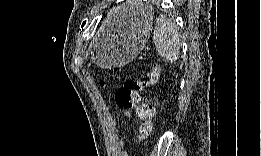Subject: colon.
Here are the masks:
<instances>
[{"label":"colon","mask_w":261,"mask_h":156,"mask_svg":"<svg viewBox=\"0 0 261 156\" xmlns=\"http://www.w3.org/2000/svg\"><path fill=\"white\" fill-rule=\"evenodd\" d=\"M160 74V66L155 64L146 72L145 76L139 79H129L115 93V102L121 109H134L139 120L136 141L146 139L152 131V120L154 110L151 104L141 101V94L150 86L155 84ZM104 87L103 81L99 82Z\"/></svg>","instance_id":"obj_1"}]
</instances>
